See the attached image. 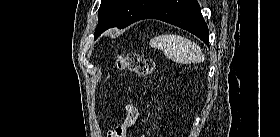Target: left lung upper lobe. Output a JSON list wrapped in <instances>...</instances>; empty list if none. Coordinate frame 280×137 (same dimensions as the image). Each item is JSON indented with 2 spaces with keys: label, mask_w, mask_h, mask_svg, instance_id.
Segmentation results:
<instances>
[{
  "label": "left lung upper lobe",
  "mask_w": 280,
  "mask_h": 137,
  "mask_svg": "<svg viewBox=\"0 0 280 137\" xmlns=\"http://www.w3.org/2000/svg\"><path fill=\"white\" fill-rule=\"evenodd\" d=\"M160 0H102L94 37L113 27L123 29L138 21Z\"/></svg>",
  "instance_id": "obj_1"
}]
</instances>
